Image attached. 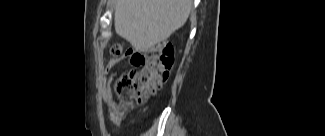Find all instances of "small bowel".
Wrapping results in <instances>:
<instances>
[{"mask_svg":"<svg viewBox=\"0 0 325 136\" xmlns=\"http://www.w3.org/2000/svg\"><path fill=\"white\" fill-rule=\"evenodd\" d=\"M125 54L128 55L127 57L132 62L134 60V68L125 69V73H118L117 77H113V71L118 62L110 60L105 68L106 78L104 79L103 98L108 114L115 123H119L122 120L124 113L118 111L113 98H121L122 93L125 92V88L131 87V80L133 79V75L137 74V69H144L146 67L147 60L144 55L148 54V49H139L137 44H130L129 48L125 49ZM111 90L113 91L111 92Z\"/></svg>","mask_w":325,"mask_h":136,"instance_id":"1","label":"small bowel"}]
</instances>
